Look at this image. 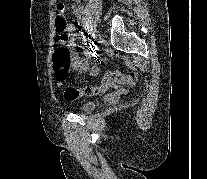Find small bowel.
I'll use <instances>...</instances> for the list:
<instances>
[{
	"mask_svg": "<svg viewBox=\"0 0 207 179\" xmlns=\"http://www.w3.org/2000/svg\"><path fill=\"white\" fill-rule=\"evenodd\" d=\"M73 12L76 16L81 18V27L83 28L85 19H84V8L82 5V0H73ZM75 26L74 25H69L67 27V32L69 35V43L68 46L71 48V53H72V67L77 70V71H89L92 74L97 73V68L90 66L88 59L81 58L80 55L75 51V47L77 44V35L75 33ZM89 55V52H88Z\"/></svg>",
	"mask_w": 207,
	"mask_h": 179,
	"instance_id": "c3829d8e",
	"label": "small bowel"
}]
</instances>
